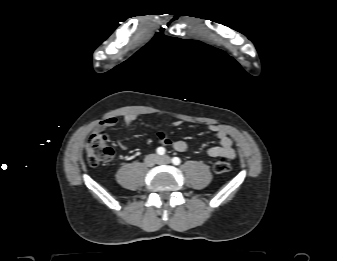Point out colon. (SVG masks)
I'll return each mask as SVG.
<instances>
[{
	"instance_id": "colon-1",
	"label": "colon",
	"mask_w": 337,
	"mask_h": 261,
	"mask_svg": "<svg viewBox=\"0 0 337 261\" xmlns=\"http://www.w3.org/2000/svg\"><path fill=\"white\" fill-rule=\"evenodd\" d=\"M108 141V136L101 132L93 133L89 137L86 146V153L90 165L98 166L112 158L114 150L109 146ZM213 169L218 174L230 171L231 164L229 162V158L226 156L220 157V159L214 163Z\"/></svg>"
}]
</instances>
